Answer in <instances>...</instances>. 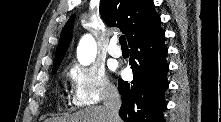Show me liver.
Returning a JSON list of instances; mask_svg holds the SVG:
<instances>
[{"instance_id": "6515ba94", "label": "liver", "mask_w": 221, "mask_h": 122, "mask_svg": "<svg viewBox=\"0 0 221 122\" xmlns=\"http://www.w3.org/2000/svg\"><path fill=\"white\" fill-rule=\"evenodd\" d=\"M49 120H52V122H108L109 119L104 106H91L70 116ZM120 120L121 119L119 118L118 122H120Z\"/></svg>"}]
</instances>
